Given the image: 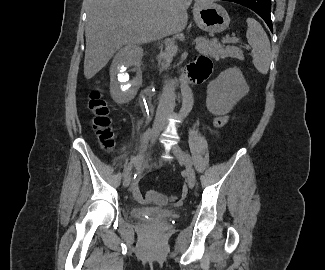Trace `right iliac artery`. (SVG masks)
Returning <instances> with one entry per match:
<instances>
[{
    "mask_svg": "<svg viewBox=\"0 0 325 270\" xmlns=\"http://www.w3.org/2000/svg\"><path fill=\"white\" fill-rule=\"evenodd\" d=\"M150 131L151 130H148L144 133L143 135V149L146 148L147 144H148V141L150 139ZM143 158V150L137 155L135 156L131 161L130 163L125 167L124 169V177L126 175H128V173L130 172V170L132 169V167L137 164L139 162V160H141Z\"/></svg>",
    "mask_w": 325,
    "mask_h": 270,
    "instance_id": "obj_1",
    "label": "right iliac artery"
}]
</instances>
